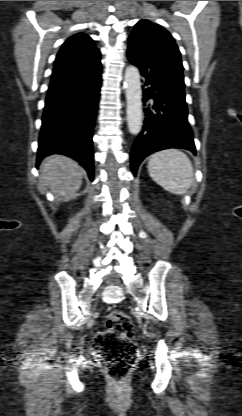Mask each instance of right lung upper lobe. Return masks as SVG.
I'll return each mask as SVG.
<instances>
[{
    "label": "right lung upper lobe",
    "instance_id": "obj_1",
    "mask_svg": "<svg viewBox=\"0 0 242 416\" xmlns=\"http://www.w3.org/2000/svg\"><path fill=\"white\" fill-rule=\"evenodd\" d=\"M101 69L100 52L84 33L69 37L57 54L50 84L70 82Z\"/></svg>",
    "mask_w": 242,
    "mask_h": 416
}]
</instances>
